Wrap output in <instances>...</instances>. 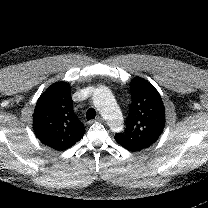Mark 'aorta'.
<instances>
[{
    "instance_id": "aorta-1",
    "label": "aorta",
    "mask_w": 208,
    "mask_h": 208,
    "mask_svg": "<svg viewBox=\"0 0 208 208\" xmlns=\"http://www.w3.org/2000/svg\"><path fill=\"white\" fill-rule=\"evenodd\" d=\"M93 103L101 115L108 121L113 131L122 130V112L108 87L101 85L95 89Z\"/></svg>"
}]
</instances>
